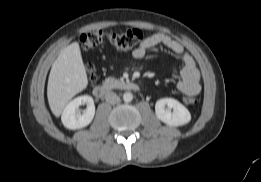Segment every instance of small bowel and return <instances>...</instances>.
I'll return each instance as SVG.
<instances>
[{
	"label": "small bowel",
	"mask_w": 261,
	"mask_h": 182,
	"mask_svg": "<svg viewBox=\"0 0 261 182\" xmlns=\"http://www.w3.org/2000/svg\"><path fill=\"white\" fill-rule=\"evenodd\" d=\"M158 45L167 47L180 58L181 67L179 79L176 82L177 89L185 95H197L201 90L199 71L193 58L184 50L182 44L171 36L155 33L146 37L132 52V56L136 59H146L150 56L149 51Z\"/></svg>",
	"instance_id": "small-bowel-1"
}]
</instances>
